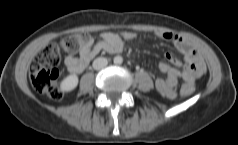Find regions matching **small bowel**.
Masks as SVG:
<instances>
[{
	"label": "small bowel",
	"instance_id": "c3829d8e",
	"mask_svg": "<svg viewBox=\"0 0 238 145\" xmlns=\"http://www.w3.org/2000/svg\"><path fill=\"white\" fill-rule=\"evenodd\" d=\"M155 36L162 40L171 41L185 57L186 65L170 53L166 54L168 61L176 66L183 67L182 71L171 67L166 62L158 64L159 71L164 73L166 77L155 78L156 89L162 96L172 99L177 94L176 88L180 77H182L185 84L194 86L196 78L205 72L206 66L197 49L186 38L169 31H156ZM134 38H136V33L132 31L104 32L97 42L92 37H88L80 48L79 56L68 55L65 58V65L71 73L79 74L87 68L91 60L101 51L111 54L120 53L123 50V42Z\"/></svg>",
	"mask_w": 238,
	"mask_h": 145
}]
</instances>
